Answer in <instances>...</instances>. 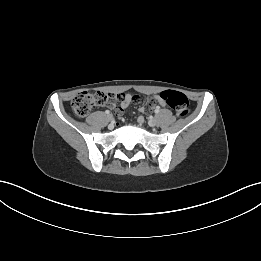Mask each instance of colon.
Returning a JSON list of instances; mask_svg holds the SVG:
<instances>
[{"instance_id":"obj_1","label":"colon","mask_w":261,"mask_h":261,"mask_svg":"<svg viewBox=\"0 0 261 261\" xmlns=\"http://www.w3.org/2000/svg\"><path fill=\"white\" fill-rule=\"evenodd\" d=\"M160 99L171 107L177 116L184 117L189 112V101L187 97L178 91H163L159 94ZM120 95H109L104 92H81L71 101V107L75 115L84 117L96 107L102 106L110 101H120Z\"/></svg>"}]
</instances>
